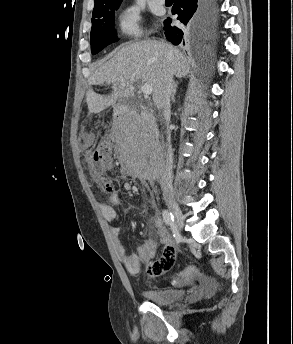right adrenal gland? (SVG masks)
Instances as JSON below:
<instances>
[{
    "instance_id": "1",
    "label": "right adrenal gland",
    "mask_w": 293,
    "mask_h": 344,
    "mask_svg": "<svg viewBox=\"0 0 293 344\" xmlns=\"http://www.w3.org/2000/svg\"><path fill=\"white\" fill-rule=\"evenodd\" d=\"M176 89H177V83L174 85V88H173V94H172V101L173 102H175Z\"/></svg>"
}]
</instances>
